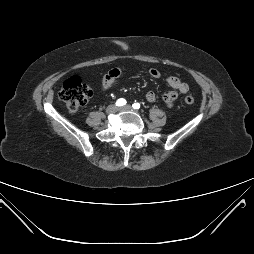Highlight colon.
<instances>
[{
  "mask_svg": "<svg viewBox=\"0 0 254 254\" xmlns=\"http://www.w3.org/2000/svg\"><path fill=\"white\" fill-rule=\"evenodd\" d=\"M59 96L70 112H77L91 98L92 90L78 76L67 79L60 90ZM194 97L186 96L184 102L188 105L194 103Z\"/></svg>",
  "mask_w": 254,
  "mask_h": 254,
  "instance_id": "obj_1",
  "label": "colon"
}]
</instances>
